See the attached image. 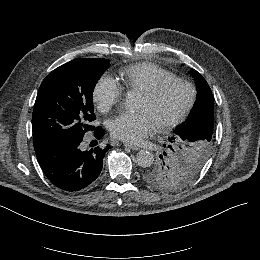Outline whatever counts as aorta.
Segmentation results:
<instances>
[{
  "label": "aorta",
  "mask_w": 260,
  "mask_h": 260,
  "mask_svg": "<svg viewBox=\"0 0 260 260\" xmlns=\"http://www.w3.org/2000/svg\"><path fill=\"white\" fill-rule=\"evenodd\" d=\"M125 105L127 109H134L135 101L132 98H128ZM136 162L140 167H149L154 162V155L148 150H141L136 155Z\"/></svg>",
  "instance_id": "aorta-1"
}]
</instances>
